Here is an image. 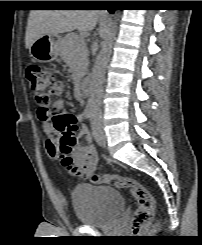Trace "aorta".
I'll return each instance as SVG.
<instances>
[{
  "instance_id": "obj_1",
  "label": "aorta",
  "mask_w": 202,
  "mask_h": 245,
  "mask_svg": "<svg viewBox=\"0 0 202 245\" xmlns=\"http://www.w3.org/2000/svg\"><path fill=\"white\" fill-rule=\"evenodd\" d=\"M117 14H115L114 21L112 22L108 34L106 35L100 52L96 58L90 80V101L97 102L103 91V83L105 77V70L107 63L110 59L113 44V34L116 28Z\"/></svg>"
}]
</instances>
